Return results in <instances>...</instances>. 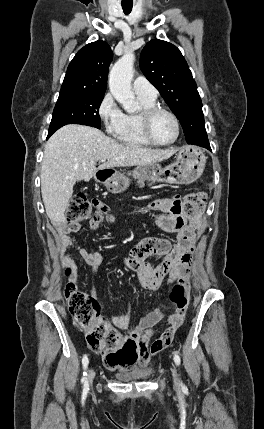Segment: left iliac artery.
Returning <instances> with one entry per match:
<instances>
[{
    "label": "left iliac artery",
    "mask_w": 264,
    "mask_h": 429,
    "mask_svg": "<svg viewBox=\"0 0 264 429\" xmlns=\"http://www.w3.org/2000/svg\"><path fill=\"white\" fill-rule=\"evenodd\" d=\"M174 362L177 366L180 365L181 359L178 354H174Z\"/></svg>",
    "instance_id": "44dca946"
}]
</instances>
